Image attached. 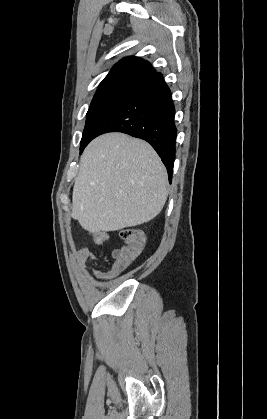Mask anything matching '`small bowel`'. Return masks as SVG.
Segmentation results:
<instances>
[{
  "instance_id": "1",
  "label": "small bowel",
  "mask_w": 267,
  "mask_h": 419,
  "mask_svg": "<svg viewBox=\"0 0 267 419\" xmlns=\"http://www.w3.org/2000/svg\"><path fill=\"white\" fill-rule=\"evenodd\" d=\"M91 237L96 245H103L109 238L108 234L104 232H95L91 233ZM78 263L82 270L85 269L86 264L90 261L95 260V255L93 251L88 247H81L77 251ZM120 271H118L112 264L108 270H99L94 269L93 274L97 278L107 279L116 276Z\"/></svg>"
}]
</instances>
